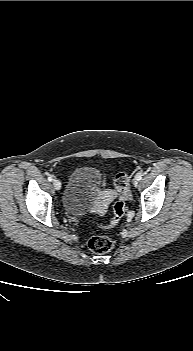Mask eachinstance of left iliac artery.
Returning <instances> with one entry per match:
<instances>
[{"label":"left iliac artery","mask_w":193,"mask_h":351,"mask_svg":"<svg viewBox=\"0 0 193 351\" xmlns=\"http://www.w3.org/2000/svg\"><path fill=\"white\" fill-rule=\"evenodd\" d=\"M142 176H143L142 173H138V174L135 176V179H136L137 181H140V180L142 179Z\"/></svg>","instance_id":"1"}]
</instances>
